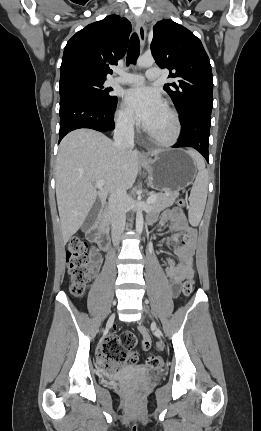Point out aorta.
I'll return each instance as SVG.
<instances>
[{"label":"aorta","mask_w":261,"mask_h":431,"mask_svg":"<svg viewBox=\"0 0 261 431\" xmlns=\"http://www.w3.org/2000/svg\"><path fill=\"white\" fill-rule=\"evenodd\" d=\"M154 64V59L152 56L143 55L138 58L137 65L139 67H150ZM136 231L141 234L143 231V214L141 209H137L136 213Z\"/></svg>","instance_id":"aorta-1"}]
</instances>
